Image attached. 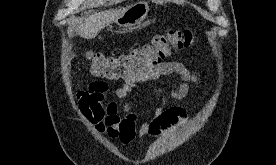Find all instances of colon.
I'll list each match as a JSON object with an SVG mask.
<instances>
[{
    "mask_svg": "<svg viewBox=\"0 0 276 165\" xmlns=\"http://www.w3.org/2000/svg\"><path fill=\"white\" fill-rule=\"evenodd\" d=\"M191 30H172L156 35L151 42L120 56H105L89 52L87 59L92 75L109 80H132L150 75L153 70L177 49L193 46Z\"/></svg>",
    "mask_w": 276,
    "mask_h": 165,
    "instance_id": "1",
    "label": "colon"
}]
</instances>
